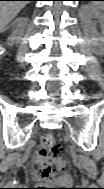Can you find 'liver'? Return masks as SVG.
Wrapping results in <instances>:
<instances>
[{"instance_id": "liver-1", "label": "liver", "mask_w": 104, "mask_h": 189, "mask_svg": "<svg viewBox=\"0 0 104 189\" xmlns=\"http://www.w3.org/2000/svg\"><path fill=\"white\" fill-rule=\"evenodd\" d=\"M27 1H1L0 2V28L4 31L7 24L27 5Z\"/></svg>"}]
</instances>
